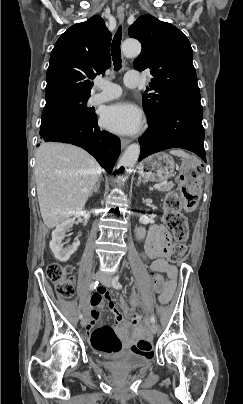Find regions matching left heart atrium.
Instances as JSON below:
<instances>
[{
    "instance_id": "39dd6f15",
    "label": "left heart atrium",
    "mask_w": 243,
    "mask_h": 404,
    "mask_svg": "<svg viewBox=\"0 0 243 404\" xmlns=\"http://www.w3.org/2000/svg\"><path fill=\"white\" fill-rule=\"evenodd\" d=\"M101 122L113 133L133 135L141 130L143 113L129 101H118L103 108Z\"/></svg>"
}]
</instances>
